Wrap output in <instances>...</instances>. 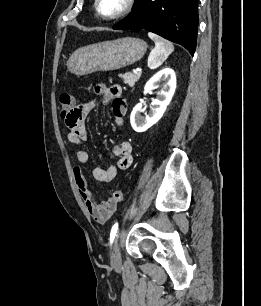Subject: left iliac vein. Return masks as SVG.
I'll return each instance as SVG.
<instances>
[{"label":"left iliac vein","instance_id":"obj_1","mask_svg":"<svg viewBox=\"0 0 261 306\" xmlns=\"http://www.w3.org/2000/svg\"><path fill=\"white\" fill-rule=\"evenodd\" d=\"M111 265L113 267H119L121 264V254H120V238L116 237L113 245L112 254L110 258Z\"/></svg>","mask_w":261,"mask_h":306}]
</instances>
